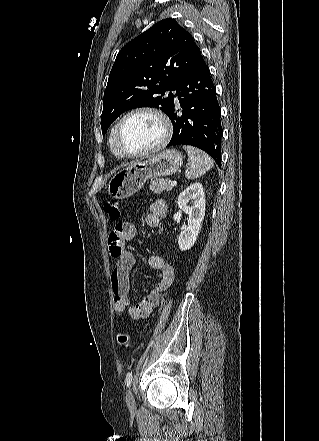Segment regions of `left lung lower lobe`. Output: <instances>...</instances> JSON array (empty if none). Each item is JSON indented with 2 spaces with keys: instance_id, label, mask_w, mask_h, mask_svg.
I'll use <instances>...</instances> for the list:
<instances>
[{
  "instance_id": "0a47b994",
  "label": "left lung lower lobe",
  "mask_w": 319,
  "mask_h": 441,
  "mask_svg": "<svg viewBox=\"0 0 319 441\" xmlns=\"http://www.w3.org/2000/svg\"><path fill=\"white\" fill-rule=\"evenodd\" d=\"M178 102L168 116L173 123V136L167 146L192 145L208 153L220 166L221 110L209 68L202 56L176 87Z\"/></svg>"
}]
</instances>
